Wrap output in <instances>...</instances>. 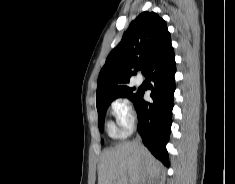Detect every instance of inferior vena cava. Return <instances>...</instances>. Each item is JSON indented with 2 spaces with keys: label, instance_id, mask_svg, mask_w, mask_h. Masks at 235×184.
Returning <instances> with one entry per match:
<instances>
[{
  "label": "inferior vena cava",
  "instance_id": "1",
  "mask_svg": "<svg viewBox=\"0 0 235 184\" xmlns=\"http://www.w3.org/2000/svg\"><path fill=\"white\" fill-rule=\"evenodd\" d=\"M134 144H135V146H141V138H139V136H137Z\"/></svg>",
  "mask_w": 235,
  "mask_h": 184
}]
</instances>
